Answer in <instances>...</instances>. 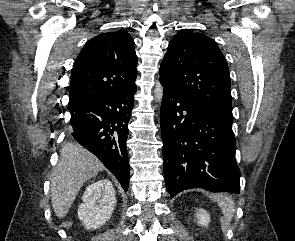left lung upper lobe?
<instances>
[{
  "instance_id": "left-lung-upper-lobe-1",
  "label": "left lung upper lobe",
  "mask_w": 295,
  "mask_h": 241,
  "mask_svg": "<svg viewBox=\"0 0 295 241\" xmlns=\"http://www.w3.org/2000/svg\"><path fill=\"white\" fill-rule=\"evenodd\" d=\"M160 80L193 103L233 122L228 65L208 36L178 32L161 63Z\"/></svg>"
}]
</instances>
